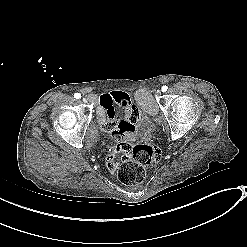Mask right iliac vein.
Returning <instances> with one entry per match:
<instances>
[{
	"instance_id": "1",
	"label": "right iliac vein",
	"mask_w": 247,
	"mask_h": 247,
	"mask_svg": "<svg viewBox=\"0 0 247 247\" xmlns=\"http://www.w3.org/2000/svg\"><path fill=\"white\" fill-rule=\"evenodd\" d=\"M83 102H87V99L85 97H82Z\"/></svg>"
}]
</instances>
